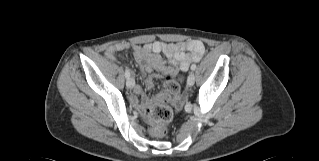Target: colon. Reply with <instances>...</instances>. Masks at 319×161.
Returning a JSON list of instances; mask_svg holds the SVG:
<instances>
[{
    "label": "colon",
    "instance_id": "1",
    "mask_svg": "<svg viewBox=\"0 0 319 161\" xmlns=\"http://www.w3.org/2000/svg\"><path fill=\"white\" fill-rule=\"evenodd\" d=\"M179 89L178 81L173 73L169 74L163 88L156 94L155 103L149 108L150 133L154 137L167 134V123L172 119L171 99Z\"/></svg>",
    "mask_w": 319,
    "mask_h": 161
}]
</instances>
